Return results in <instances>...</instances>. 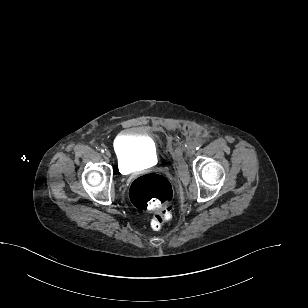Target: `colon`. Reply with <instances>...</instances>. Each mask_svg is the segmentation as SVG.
I'll use <instances>...</instances> for the list:
<instances>
[{
	"label": "colon",
	"instance_id": "obj_1",
	"mask_svg": "<svg viewBox=\"0 0 308 308\" xmlns=\"http://www.w3.org/2000/svg\"><path fill=\"white\" fill-rule=\"evenodd\" d=\"M129 197L135 207L154 214V229H159L172 216L173 188L160 174L148 173L135 178L130 185Z\"/></svg>",
	"mask_w": 308,
	"mask_h": 308
}]
</instances>
